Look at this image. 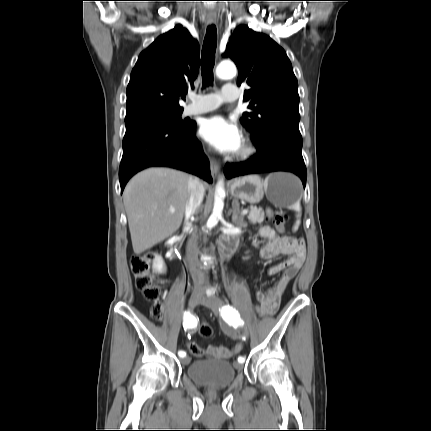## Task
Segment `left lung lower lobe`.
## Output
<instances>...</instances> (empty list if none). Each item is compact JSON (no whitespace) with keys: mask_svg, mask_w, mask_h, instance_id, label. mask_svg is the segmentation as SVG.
Wrapping results in <instances>:
<instances>
[{"mask_svg":"<svg viewBox=\"0 0 431 431\" xmlns=\"http://www.w3.org/2000/svg\"><path fill=\"white\" fill-rule=\"evenodd\" d=\"M254 144L258 149L256 155L238 165L225 167L228 179L253 173L287 171L299 176L305 187L307 172L301 153V134L276 129Z\"/></svg>","mask_w":431,"mask_h":431,"instance_id":"1","label":"left lung lower lobe"}]
</instances>
